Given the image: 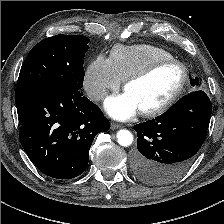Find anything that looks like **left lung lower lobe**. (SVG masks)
I'll use <instances>...</instances> for the list:
<instances>
[{"label": "left lung lower lobe", "instance_id": "0a47b994", "mask_svg": "<svg viewBox=\"0 0 224 224\" xmlns=\"http://www.w3.org/2000/svg\"><path fill=\"white\" fill-rule=\"evenodd\" d=\"M212 105L202 90H196L168 112L137 124V148L133 171L146 183L168 184L182 176L202 146L209 127Z\"/></svg>", "mask_w": 224, "mask_h": 224}]
</instances>
